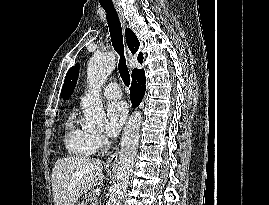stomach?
Instances as JSON below:
<instances>
[{
	"mask_svg": "<svg viewBox=\"0 0 269 205\" xmlns=\"http://www.w3.org/2000/svg\"><path fill=\"white\" fill-rule=\"evenodd\" d=\"M76 205H86V204L82 202V203H77Z\"/></svg>",
	"mask_w": 269,
	"mask_h": 205,
	"instance_id": "1",
	"label": "stomach"
}]
</instances>
